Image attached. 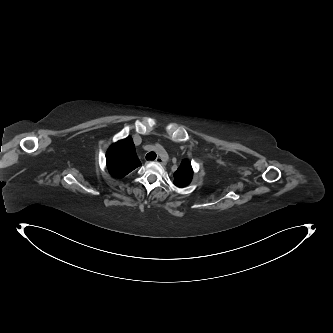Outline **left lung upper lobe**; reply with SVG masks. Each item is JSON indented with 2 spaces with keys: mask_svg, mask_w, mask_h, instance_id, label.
<instances>
[{
  "mask_svg": "<svg viewBox=\"0 0 333 333\" xmlns=\"http://www.w3.org/2000/svg\"><path fill=\"white\" fill-rule=\"evenodd\" d=\"M192 175L193 170L191 163L188 160H183L177 171L174 173V184L177 187L183 188L190 184Z\"/></svg>",
  "mask_w": 333,
  "mask_h": 333,
  "instance_id": "5c2ea615",
  "label": "left lung upper lobe"
}]
</instances>
